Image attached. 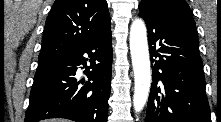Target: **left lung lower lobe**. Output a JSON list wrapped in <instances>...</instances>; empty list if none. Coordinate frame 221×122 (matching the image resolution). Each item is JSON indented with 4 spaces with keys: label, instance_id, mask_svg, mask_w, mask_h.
<instances>
[{
    "label": "left lung lower lobe",
    "instance_id": "left-lung-lower-lobe-1",
    "mask_svg": "<svg viewBox=\"0 0 221 122\" xmlns=\"http://www.w3.org/2000/svg\"><path fill=\"white\" fill-rule=\"evenodd\" d=\"M139 14L153 63L145 122H211L194 20L152 1L141 2Z\"/></svg>",
    "mask_w": 221,
    "mask_h": 122
}]
</instances>
